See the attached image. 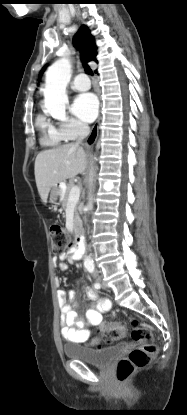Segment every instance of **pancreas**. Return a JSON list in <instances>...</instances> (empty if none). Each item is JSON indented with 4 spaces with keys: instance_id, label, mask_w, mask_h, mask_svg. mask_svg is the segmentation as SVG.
I'll use <instances>...</instances> for the list:
<instances>
[{
    "instance_id": "pancreas-1",
    "label": "pancreas",
    "mask_w": 187,
    "mask_h": 415,
    "mask_svg": "<svg viewBox=\"0 0 187 415\" xmlns=\"http://www.w3.org/2000/svg\"><path fill=\"white\" fill-rule=\"evenodd\" d=\"M73 186H74V184L72 182H69L67 184L66 190L64 191L63 198H62V207L64 209H66L67 206H68V203H69L68 199H69V195H70V192H71V189L73 188ZM78 222H79V214H78V211H77V207H75V217H74L75 227H77Z\"/></svg>"
}]
</instances>
